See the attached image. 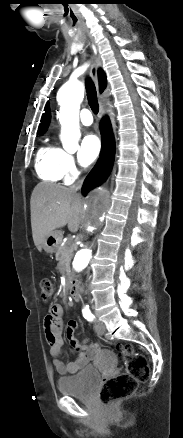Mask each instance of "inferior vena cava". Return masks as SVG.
I'll list each match as a JSON object with an SVG mask.
<instances>
[{
  "label": "inferior vena cava",
  "instance_id": "obj_1",
  "mask_svg": "<svg viewBox=\"0 0 183 438\" xmlns=\"http://www.w3.org/2000/svg\"><path fill=\"white\" fill-rule=\"evenodd\" d=\"M82 184H83V180H80L76 185H73L71 189L76 192L82 187Z\"/></svg>",
  "mask_w": 183,
  "mask_h": 438
}]
</instances>
